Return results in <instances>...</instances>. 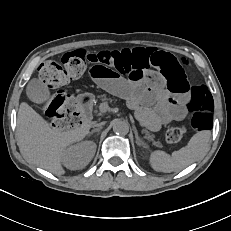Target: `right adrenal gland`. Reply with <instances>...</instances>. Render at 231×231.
Here are the masks:
<instances>
[{"instance_id": "obj_1", "label": "right adrenal gland", "mask_w": 231, "mask_h": 231, "mask_svg": "<svg viewBox=\"0 0 231 231\" xmlns=\"http://www.w3.org/2000/svg\"><path fill=\"white\" fill-rule=\"evenodd\" d=\"M101 129H102V127H99V128H96V129L92 130V131L90 132L89 136L92 135V134L95 133V132H99Z\"/></svg>"}]
</instances>
